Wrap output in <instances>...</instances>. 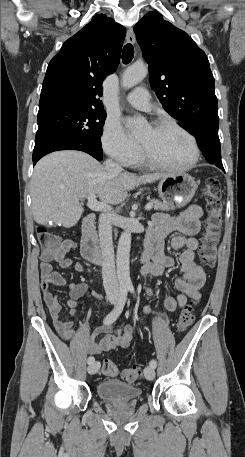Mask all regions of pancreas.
Instances as JSON below:
<instances>
[{
	"label": "pancreas",
	"instance_id": "pancreas-1",
	"mask_svg": "<svg viewBox=\"0 0 245 457\" xmlns=\"http://www.w3.org/2000/svg\"><path fill=\"white\" fill-rule=\"evenodd\" d=\"M150 202H153L155 210H174L175 204L172 202H161L157 198H150Z\"/></svg>",
	"mask_w": 245,
	"mask_h": 457
}]
</instances>
